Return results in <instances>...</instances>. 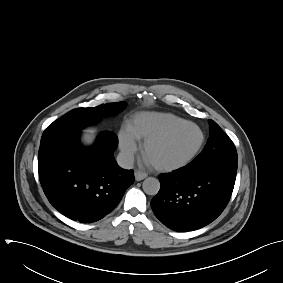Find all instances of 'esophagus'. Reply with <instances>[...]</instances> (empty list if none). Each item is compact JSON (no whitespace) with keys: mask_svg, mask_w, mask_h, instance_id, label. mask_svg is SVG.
Returning a JSON list of instances; mask_svg holds the SVG:
<instances>
[{"mask_svg":"<svg viewBox=\"0 0 283 283\" xmlns=\"http://www.w3.org/2000/svg\"><path fill=\"white\" fill-rule=\"evenodd\" d=\"M134 176H135L136 181H141V180L145 179L148 176V174L145 173V172H142L140 170H136L134 172Z\"/></svg>","mask_w":283,"mask_h":283,"instance_id":"esophagus-1","label":"esophagus"}]
</instances>
